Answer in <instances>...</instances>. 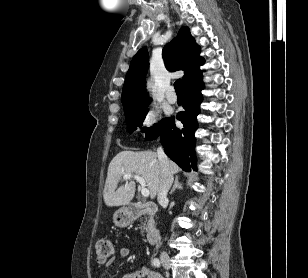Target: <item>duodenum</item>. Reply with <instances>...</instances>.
<instances>
[{
    "instance_id": "1",
    "label": "duodenum",
    "mask_w": 308,
    "mask_h": 278,
    "mask_svg": "<svg viewBox=\"0 0 308 278\" xmlns=\"http://www.w3.org/2000/svg\"><path fill=\"white\" fill-rule=\"evenodd\" d=\"M125 217L127 220H134L142 214H149L154 217L157 213V207L153 204H140L131 202L125 206ZM160 238V230L157 226L151 225L148 233L147 240L150 244H155Z\"/></svg>"
}]
</instances>
